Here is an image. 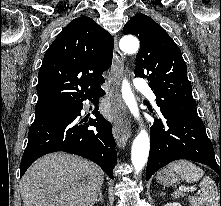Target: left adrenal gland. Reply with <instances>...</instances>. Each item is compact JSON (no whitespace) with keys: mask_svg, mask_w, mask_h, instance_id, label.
<instances>
[{"mask_svg":"<svg viewBox=\"0 0 221 206\" xmlns=\"http://www.w3.org/2000/svg\"><path fill=\"white\" fill-rule=\"evenodd\" d=\"M160 195H164V193L162 192Z\"/></svg>","mask_w":221,"mask_h":206,"instance_id":"left-adrenal-gland-1","label":"left adrenal gland"}]
</instances>
